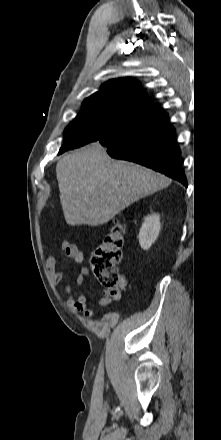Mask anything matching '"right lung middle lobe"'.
<instances>
[{
	"instance_id": "1",
	"label": "right lung middle lobe",
	"mask_w": 221,
	"mask_h": 440,
	"mask_svg": "<svg viewBox=\"0 0 221 440\" xmlns=\"http://www.w3.org/2000/svg\"><path fill=\"white\" fill-rule=\"evenodd\" d=\"M134 113L109 102L84 103L82 111L65 129V142L59 154L97 141Z\"/></svg>"
}]
</instances>
